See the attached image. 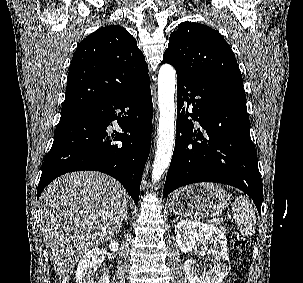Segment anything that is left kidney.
Segmentation results:
<instances>
[{
	"instance_id": "1",
	"label": "left kidney",
	"mask_w": 303,
	"mask_h": 283,
	"mask_svg": "<svg viewBox=\"0 0 303 283\" xmlns=\"http://www.w3.org/2000/svg\"><path fill=\"white\" fill-rule=\"evenodd\" d=\"M175 234L182 252H191L197 241L201 249L211 256L209 269L204 272L197 269L194 260L185 261L184 270L189 283H221L230 270L227 240L223 232L214 225L182 220L176 224Z\"/></svg>"
}]
</instances>
